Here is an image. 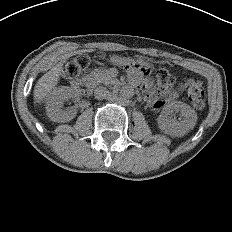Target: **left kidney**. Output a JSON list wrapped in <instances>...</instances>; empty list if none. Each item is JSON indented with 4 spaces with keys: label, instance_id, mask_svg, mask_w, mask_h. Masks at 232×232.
<instances>
[{
    "label": "left kidney",
    "instance_id": "5707ae66",
    "mask_svg": "<svg viewBox=\"0 0 232 232\" xmlns=\"http://www.w3.org/2000/svg\"><path fill=\"white\" fill-rule=\"evenodd\" d=\"M173 110H178L183 119L177 121L170 115ZM197 122V114L193 108L181 101H174L166 105L165 109L157 118L159 129L167 135L181 137L192 130Z\"/></svg>",
    "mask_w": 232,
    "mask_h": 232
}]
</instances>
